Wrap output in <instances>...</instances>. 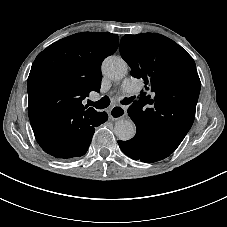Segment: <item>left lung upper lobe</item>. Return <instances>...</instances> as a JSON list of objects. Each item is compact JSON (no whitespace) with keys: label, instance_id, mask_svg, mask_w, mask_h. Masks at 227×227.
I'll return each mask as SVG.
<instances>
[{"label":"left lung upper lobe","instance_id":"5c2ea615","mask_svg":"<svg viewBox=\"0 0 227 227\" xmlns=\"http://www.w3.org/2000/svg\"><path fill=\"white\" fill-rule=\"evenodd\" d=\"M120 53L131 75L145 89L128 108L138 130L176 149L190 130L201 82L193 58L176 42L160 34L125 35Z\"/></svg>","mask_w":227,"mask_h":227}]
</instances>
